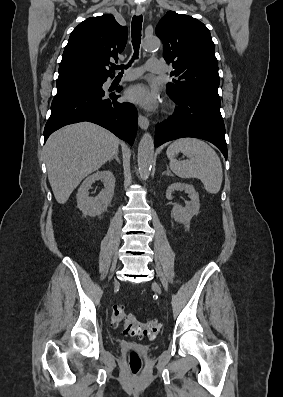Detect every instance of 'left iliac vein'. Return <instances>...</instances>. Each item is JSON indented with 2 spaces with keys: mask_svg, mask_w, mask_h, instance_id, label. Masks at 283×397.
I'll use <instances>...</instances> for the list:
<instances>
[{
  "mask_svg": "<svg viewBox=\"0 0 283 397\" xmlns=\"http://www.w3.org/2000/svg\"><path fill=\"white\" fill-rule=\"evenodd\" d=\"M152 286L158 294L162 293L160 286L156 282H153Z\"/></svg>",
  "mask_w": 283,
  "mask_h": 397,
  "instance_id": "left-iliac-vein-1",
  "label": "left iliac vein"
}]
</instances>
